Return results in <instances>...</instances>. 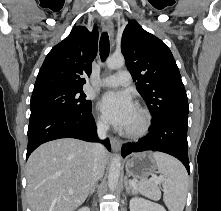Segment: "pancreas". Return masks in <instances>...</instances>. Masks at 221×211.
<instances>
[{
	"label": "pancreas",
	"instance_id": "obj_1",
	"mask_svg": "<svg viewBox=\"0 0 221 211\" xmlns=\"http://www.w3.org/2000/svg\"><path fill=\"white\" fill-rule=\"evenodd\" d=\"M133 194H135L136 193V191L135 190H133V192H132Z\"/></svg>",
	"mask_w": 221,
	"mask_h": 211
}]
</instances>
